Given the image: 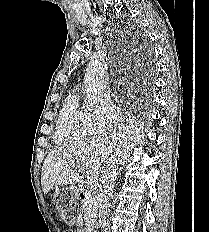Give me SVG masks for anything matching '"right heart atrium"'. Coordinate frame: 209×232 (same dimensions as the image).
Instances as JSON below:
<instances>
[{
	"label": "right heart atrium",
	"mask_w": 209,
	"mask_h": 232,
	"mask_svg": "<svg viewBox=\"0 0 209 232\" xmlns=\"http://www.w3.org/2000/svg\"><path fill=\"white\" fill-rule=\"evenodd\" d=\"M119 109L109 99L102 100L91 113V121L96 132H102L119 120Z\"/></svg>",
	"instance_id": "right-heart-atrium-1"
}]
</instances>
